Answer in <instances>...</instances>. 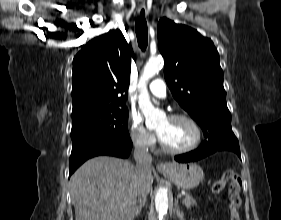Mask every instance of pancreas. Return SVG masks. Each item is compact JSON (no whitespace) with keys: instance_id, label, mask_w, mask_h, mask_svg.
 I'll use <instances>...</instances> for the list:
<instances>
[{"instance_id":"obj_1","label":"pancreas","mask_w":281,"mask_h":220,"mask_svg":"<svg viewBox=\"0 0 281 220\" xmlns=\"http://www.w3.org/2000/svg\"><path fill=\"white\" fill-rule=\"evenodd\" d=\"M183 203L188 208L196 206V201L191 195L185 196L183 199Z\"/></svg>"}]
</instances>
